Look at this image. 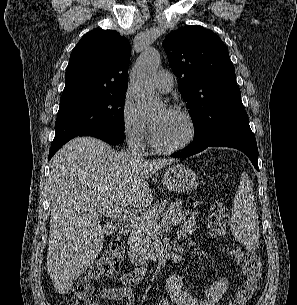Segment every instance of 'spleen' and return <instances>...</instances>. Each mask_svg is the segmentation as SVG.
I'll use <instances>...</instances> for the list:
<instances>
[{"label":"spleen","instance_id":"1","mask_svg":"<svg viewBox=\"0 0 297 305\" xmlns=\"http://www.w3.org/2000/svg\"><path fill=\"white\" fill-rule=\"evenodd\" d=\"M230 227L235 238L247 248H257L259 244L258 214L253 188L246 172L241 174L240 185L234 197Z\"/></svg>","mask_w":297,"mask_h":305}]
</instances>
